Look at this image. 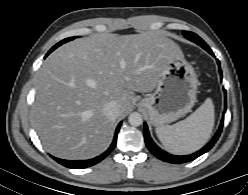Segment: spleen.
<instances>
[{"instance_id":"3e777b00","label":"spleen","mask_w":248,"mask_h":195,"mask_svg":"<svg viewBox=\"0 0 248 195\" xmlns=\"http://www.w3.org/2000/svg\"><path fill=\"white\" fill-rule=\"evenodd\" d=\"M214 105L210 98L186 119L171 125L156 128L163 146L171 153L185 155L203 147L214 127Z\"/></svg>"}]
</instances>
